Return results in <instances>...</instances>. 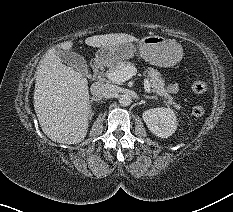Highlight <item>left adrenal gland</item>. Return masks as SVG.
<instances>
[{
    "instance_id": "obj_1",
    "label": "left adrenal gland",
    "mask_w": 233,
    "mask_h": 212,
    "mask_svg": "<svg viewBox=\"0 0 233 212\" xmlns=\"http://www.w3.org/2000/svg\"><path fill=\"white\" fill-rule=\"evenodd\" d=\"M144 97L147 98V99H154V100H157V99H158L157 97L148 96V95H144Z\"/></svg>"
}]
</instances>
